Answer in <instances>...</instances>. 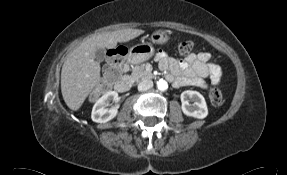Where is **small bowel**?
<instances>
[{"label":"small bowel","mask_w":287,"mask_h":175,"mask_svg":"<svg viewBox=\"0 0 287 175\" xmlns=\"http://www.w3.org/2000/svg\"><path fill=\"white\" fill-rule=\"evenodd\" d=\"M156 59L163 71H169L168 79L176 87L197 86L206 87L204 78L211 76L215 81L220 77V69L210 62L211 55L208 52L192 54L184 59L170 57L164 51H158Z\"/></svg>","instance_id":"1"}]
</instances>
